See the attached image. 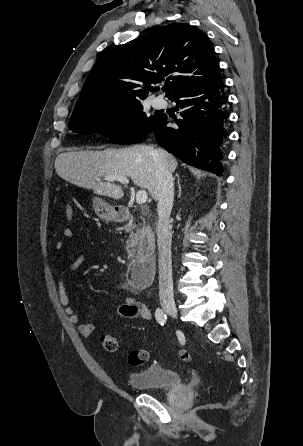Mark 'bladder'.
Wrapping results in <instances>:
<instances>
[{
  "instance_id": "31cf9c89",
  "label": "bladder",
  "mask_w": 303,
  "mask_h": 446,
  "mask_svg": "<svg viewBox=\"0 0 303 446\" xmlns=\"http://www.w3.org/2000/svg\"><path fill=\"white\" fill-rule=\"evenodd\" d=\"M128 380L133 389L140 391H165L183 386V379L179 372L157 366L133 372Z\"/></svg>"
}]
</instances>
